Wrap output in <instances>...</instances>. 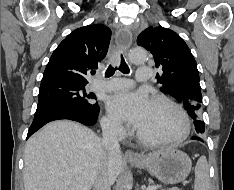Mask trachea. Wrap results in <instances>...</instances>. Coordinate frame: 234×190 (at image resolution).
Segmentation results:
<instances>
[{"instance_id":"3493384b","label":"trachea","mask_w":234,"mask_h":190,"mask_svg":"<svg viewBox=\"0 0 234 190\" xmlns=\"http://www.w3.org/2000/svg\"><path fill=\"white\" fill-rule=\"evenodd\" d=\"M118 69L124 74H128L130 72L129 67L126 64L122 55H121L120 65ZM116 70H117V67L114 68L113 66L110 65L106 70V73H105L106 77L113 76Z\"/></svg>"}]
</instances>
